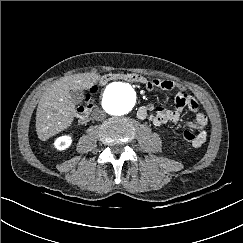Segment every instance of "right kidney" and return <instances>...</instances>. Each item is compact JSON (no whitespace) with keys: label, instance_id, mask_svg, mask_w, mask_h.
<instances>
[{"label":"right kidney","instance_id":"ca27d5eb","mask_svg":"<svg viewBox=\"0 0 243 243\" xmlns=\"http://www.w3.org/2000/svg\"><path fill=\"white\" fill-rule=\"evenodd\" d=\"M71 144L72 138L68 135L60 136L54 142V146L57 150H65L69 148Z\"/></svg>","mask_w":243,"mask_h":243}]
</instances>
